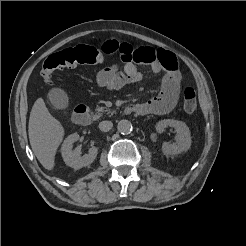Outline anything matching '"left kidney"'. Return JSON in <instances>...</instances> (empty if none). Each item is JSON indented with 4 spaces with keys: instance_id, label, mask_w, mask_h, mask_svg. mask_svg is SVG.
Returning <instances> with one entry per match:
<instances>
[{
    "instance_id": "5707ae66",
    "label": "left kidney",
    "mask_w": 246,
    "mask_h": 246,
    "mask_svg": "<svg viewBox=\"0 0 246 246\" xmlns=\"http://www.w3.org/2000/svg\"><path fill=\"white\" fill-rule=\"evenodd\" d=\"M168 126L176 130V142L173 144L164 142L162 144V152L165 155H175L188 151L192 143L188 126L182 121L164 119L156 124V130L158 133H162Z\"/></svg>"
}]
</instances>
